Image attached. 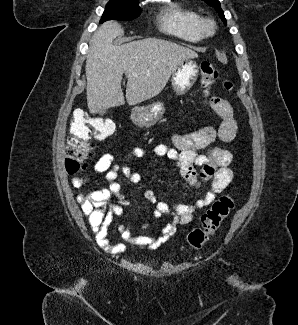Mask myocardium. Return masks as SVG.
Listing matches in <instances>:
<instances>
[{
	"mask_svg": "<svg viewBox=\"0 0 298 325\" xmlns=\"http://www.w3.org/2000/svg\"><path fill=\"white\" fill-rule=\"evenodd\" d=\"M200 26L203 35L210 36L213 33V26L207 19H201Z\"/></svg>",
	"mask_w": 298,
	"mask_h": 325,
	"instance_id": "obj_1",
	"label": "myocardium"
}]
</instances>
